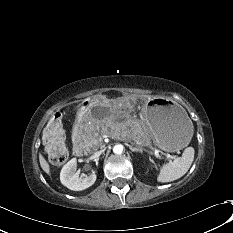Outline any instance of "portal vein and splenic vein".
Listing matches in <instances>:
<instances>
[{
	"mask_svg": "<svg viewBox=\"0 0 233 233\" xmlns=\"http://www.w3.org/2000/svg\"><path fill=\"white\" fill-rule=\"evenodd\" d=\"M151 149L154 151L155 155H159V153H161V151L159 149L155 148V147H151ZM164 155L170 160H177V158L170 155L169 153H164Z\"/></svg>",
	"mask_w": 233,
	"mask_h": 233,
	"instance_id": "1",
	"label": "portal vein and splenic vein"
}]
</instances>
